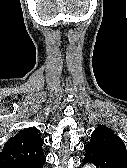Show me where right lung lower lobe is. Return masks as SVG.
Instances as JSON below:
<instances>
[{"label": "right lung lower lobe", "instance_id": "right-lung-lower-lobe-1", "mask_svg": "<svg viewBox=\"0 0 127 168\" xmlns=\"http://www.w3.org/2000/svg\"><path fill=\"white\" fill-rule=\"evenodd\" d=\"M45 158L36 161H6L0 163V168H42Z\"/></svg>", "mask_w": 127, "mask_h": 168}]
</instances>
